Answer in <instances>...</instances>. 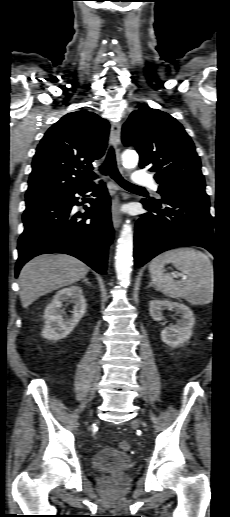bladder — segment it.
Here are the masks:
<instances>
[{
  "label": "bladder",
  "instance_id": "31cf9c89",
  "mask_svg": "<svg viewBox=\"0 0 230 517\" xmlns=\"http://www.w3.org/2000/svg\"><path fill=\"white\" fill-rule=\"evenodd\" d=\"M132 464L131 455L114 448L102 449L91 458V466L97 471L120 472L130 468Z\"/></svg>",
  "mask_w": 230,
  "mask_h": 517
}]
</instances>
